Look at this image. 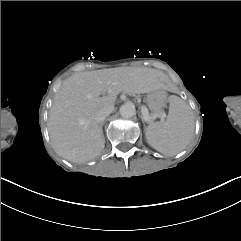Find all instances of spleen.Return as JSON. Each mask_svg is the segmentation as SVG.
Segmentation results:
<instances>
[{
	"label": "spleen",
	"instance_id": "obj_1",
	"mask_svg": "<svg viewBox=\"0 0 241 241\" xmlns=\"http://www.w3.org/2000/svg\"><path fill=\"white\" fill-rule=\"evenodd\" d=\"M169 115L165 123L153 122L145 129L146 142L157 152L174 156L189 144L194 131L190 106L181 97L168 101Z\"/></svg>",
	"mask_w": 241,
	"mask_h": 241
}]
</instances>
